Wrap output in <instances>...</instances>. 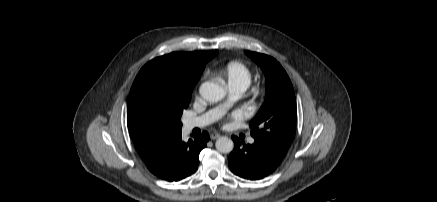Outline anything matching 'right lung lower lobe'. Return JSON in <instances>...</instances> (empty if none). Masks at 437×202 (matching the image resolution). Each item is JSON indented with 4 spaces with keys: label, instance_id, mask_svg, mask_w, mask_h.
Returning <instances> with one entry per match:
<instances>
[{
    "label": "right lung lower lobe",
    "instance_id": "obj_1",
    "mask_svg": "<svg viewBox=\"0 0 437 202\" xmlns=\"http://www.w3.org/2000/svg\"><path fill=\"white\" fill-rule=\"evenodd\" d=\"M208 140L206 131L188 142L182 141V134H179L146 162L147 167L154 175L169 182L182 180L196 172L199 153Z\"/></svg>",
    "mask_w": 437,
    "mask_h": 202
}]
</instances>
